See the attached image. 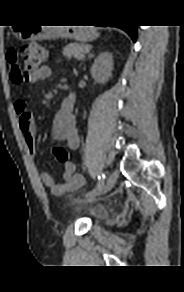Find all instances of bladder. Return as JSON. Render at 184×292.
Here are the masks:
<instances>
[{
	"label": "bladder",
	"instance_id": "bladder-1",
	"mask_svg": "<svg viewBox=\"0 0 184 292\" xmlns=\"http://www.w3.org/2000/svg\"><path fill=\"white\" fill-rule=\"evenodd\" d=\"M71 207L76 215H82L92 222L101 219L104 216V210L95 205H85L83 203L72 201Z\"/></svg>",
	"mask_w": 184,
	"mask_h": 292
}]
</instances>
